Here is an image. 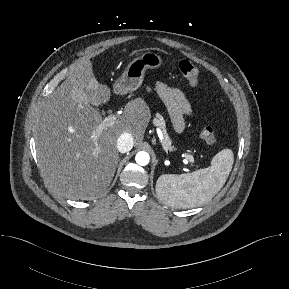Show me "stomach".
Returning a JSON list of instances; mask_svg holds the SVG:
<instances>
[{"mask_svg":"<svg viewBox=\"0 0 289 289\" xmlns=\"http://www.w3.org/2000/svg\"><path fill=\"white\" fill-rule=\"evenodd\" d=\"M163 59L153 51H145L140 56L132 59L122 75L114 83L116 94H127L138 89L149 69H159Z\"/></svg>","mask_w":289,"mask_h":289,"instance_id":"stomach-1","label":"stomach"}]
</instances>
